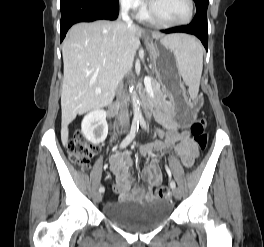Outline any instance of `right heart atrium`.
I'll use <instances>...</instances> for the list:
<instances>
[{"instance_id":"obj_1","label":"right heart atrium","mask_w":264,"mask_h":247,"mask_svg":"<svg viewBox=\"0 0 264 247\" xmlns=\"http://www.w3.org/2000/svg\"><path fill=\"white\" fill-rule=\"evenodd\" d=\"M119 3L128 11H138L144 7L143 0H119Z\"/></svg>"}]
</instances>
